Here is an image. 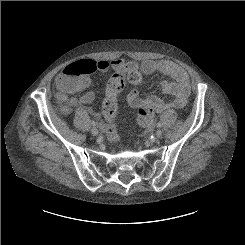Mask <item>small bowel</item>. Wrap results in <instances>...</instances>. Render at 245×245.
<instances>
[{
  "mask_svg": "<svg viewBox=\"0 0 245 245\" xmlns=\"http://www.w3.org/2000/svg\"><path fill=\"white\" fill-rule=\"evenodd\" d=\"M95 63L97 70H112L113 76L127 69H139L144 75H150L154 72H159L174 79V82L164 81L161 85L162 90L165 93L173 96V98L170 100H163L155 96L142 99L139 96L138 90L132 89L127 95V100L129 105L133 108L138 107L141 104H150L154 111L158 113L170 108H182L187 104L191 89L189 76L183 68L167 59L146 60L139 65H129L121 58H115L111 61L98 60ZM64 75L65 74L63 70L56 77L57 86L58 81L64 77ZM86 81L88 87L91 84V80L87 78ZM108 86L106 89V94L108 93ZM94 99L95 94L93 92H86L79 98H69L68 103L72 106H78L91 103Z\"/></svg>",
  "mask_w": 245,
  "mask_h": 245,
  "instance_id": "c3829d8e",
  "label": "small bowel"
}]
</instances>
